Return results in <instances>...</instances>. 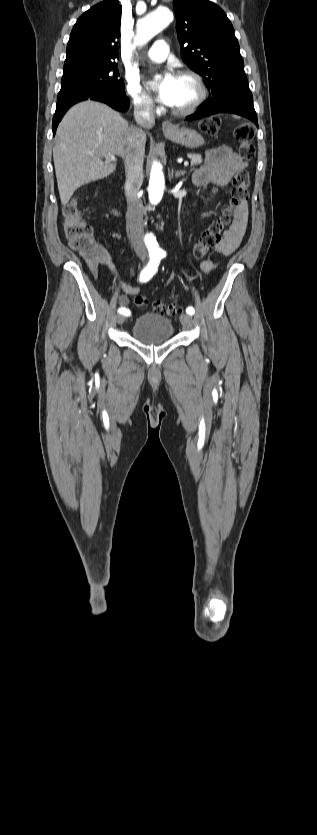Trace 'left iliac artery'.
<instances>
[{
  "mask_svg": "<svg viewBox=\"0 0 317 835\" xmlns=\"http://www.w3.org/2000/svg\"><path fill=\"white\" fill-rule=\"evenodd\" d=\"M165 256H166V252H165V251H161V252H160V254H159V257H160V258H164ZM186 312H187V314H189V315H193V314L195 313V310H194V308H193L192 306H189V307H187Z\"/></svg>",
  "mask_w": 317,
  "mask_h": 835,
  "instance_id": "44dca946",
  "label": "left iliac artery"
}]
</instances>
